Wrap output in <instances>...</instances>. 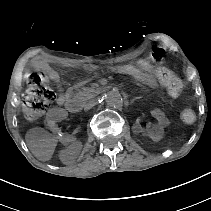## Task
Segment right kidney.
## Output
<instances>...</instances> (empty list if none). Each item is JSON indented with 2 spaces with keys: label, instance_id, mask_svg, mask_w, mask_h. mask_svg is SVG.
Listing matches in <instances>:
<instances>
[{
  "label": "right kidney",
  "instance_id": "ca27d5eb",
  "mask_svg": "<svg viewBox=\"0 0 211 211\" xmlns=\"http://www.w3.org/2000/svg\"><path fill=\"white\" fill-rule=\"evenodd\" d=\"M67 118L66 111L60 109V108H53L48 111L46 122L48 127H50L51 133H53V137L56 140L62 139L63 146H72L73 139L70 136L64 137V132L61 130L60 124H58L59 121H64Z\"/></svg>",
  "mask_w": 211,
  "mask_h": 211
}]
</instances>
